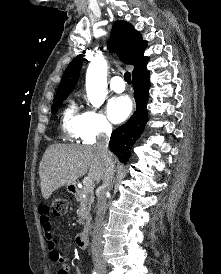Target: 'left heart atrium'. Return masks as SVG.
I'll return each mask as SVG.
<instances>
[{
    "instance_id": "obj_1",
    "label": "left heart atrium",
    "mask_w": 221,
    "mask_h": 274,
    "mask_svg": "<svg viewBox=\"0 0 221 274\" xmlns=\"http://www.w3.org/2000/svg\"><path fill=\"white\" fill-rule=\"evenodd\" d=\"M108 118L113 123L123 122L132 111V102L128 96L112 97L106 107Z\"/></svg>"
}]
</instances>
